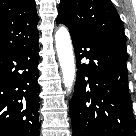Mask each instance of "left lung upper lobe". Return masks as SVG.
Segmentation results:
<instances>
[{"instance_id": "1", "label": "left lung upper lobe", "mask_w": 136, "mask_h": 136, "mask_svg": "<svg viewBox=\"0 0 136 136\" xmlns=\"http://www.w3.org/2000/svg\"><path fill=\"white\" fill-rule=\"evenodd\" d=\"M57 22L71 35L106 40L126 51L124 28L110 0H61Z\"/></svg>"}]
</instances>
